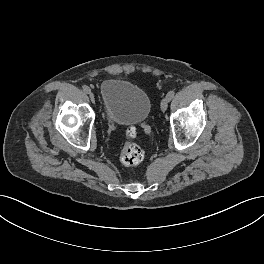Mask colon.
<instances>
[{
    "instance_id": "1",
    "label": "colon",
    "mask_w": 264,
    "mask_h": 264,
    "mask_svg": "<svg viewBox=\"0 0 264 264\" xmlns=\"http://www.w3.org/2000/svg\"><path fill=\"white\" fill-rule=\"evenodd\" d=\"M136 131L133 127L127 130L128 139L135 137ZM144 159L143 149L136 143L127 141L120 154L121 163L127 167H135L139 165Z\"/></svg>"
}]
</instances>
